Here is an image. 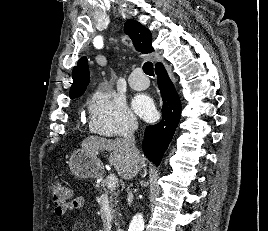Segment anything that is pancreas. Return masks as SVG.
<instances>
[{
    "instance_id": "cf45deb5",
    "label": "pancreas",
    "mask_w": 268,
    "mask_h": 231,
    "mask_svg": "<svg viewBox=\"0 0 268 231\" xmlns=\"http://www.w3.org/2000/svg\"><path fill=\"white\" fill-rule=\"evenodd\" d=\"M96 188L98 191H100V193H109L110 206L112 208V217L115 221H117V209L115 207L117 206L118 202L117 198L119 196V190L116 186L113 188H108L107 178L97 183Z\"/></svg>"
}]
</instances>
